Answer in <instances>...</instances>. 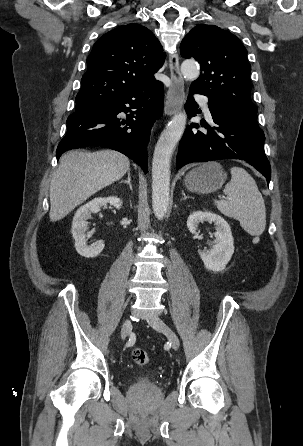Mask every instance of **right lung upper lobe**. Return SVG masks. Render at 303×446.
<instances>
[{
    "label": "right lung upper lobe",
    "instance_id": "1",
    "mask_svg": "<svg viewBox=\"0 0 303 446\" xmlns=\"http://www.w3.org/2000/svg\"><path fill=\"white\" fill-rule=\"evenodd\" d=\"M164 59L149 29L136 23L119 26L94 44L76 98L91 105L153 86Z\"/></svg>",
    "mask_w": 303,
    "mask_h": 446
}]
</instances>
